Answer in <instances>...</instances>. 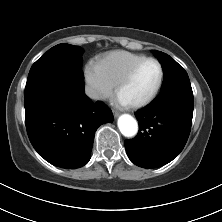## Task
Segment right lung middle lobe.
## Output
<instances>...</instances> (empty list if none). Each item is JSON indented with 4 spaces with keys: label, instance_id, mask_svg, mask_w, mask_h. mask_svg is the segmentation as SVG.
Here are the masks:
<instances>
[{
    "label": "right lung middle lobe",
    "instance_id": "obj_1",
    "mask_svg": "<svg viewBox=\"0 0 222 222\" xmlns=\"http://www.w3.org/2000/svg\"><path fill=\"white\" fill-rule=\"evenodd\" d=\"M80 47L58 44L31 67L25 88V105L40 101L72 103L84 90Z\"/></svg>",
    "mask_w": 222,
    "mask_h": 222
}]
</instances>
